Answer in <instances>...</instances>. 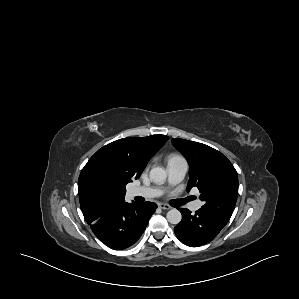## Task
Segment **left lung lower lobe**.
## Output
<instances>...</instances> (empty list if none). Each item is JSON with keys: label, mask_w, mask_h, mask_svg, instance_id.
I'll list each match as a JSON object with an SVG mask.
<instances>
[{"label": "left lung lower lobe", "mask_w": 299, "mask_h": 299, "mask_svg": "<svg viewBox=\"0 0 299 299\" xmlns=\"http://www.w3.org/2000/svg\"><path fill=\"white\" fill-rule=\"evenodd\" d=\"M182 220L174 228L177 238L190 247H199L210 242L226 225L213 215L201 209L191 214L188 209L180 208Z\"/></svg>", "instance_id": "left-lung-lower-lobe-1"}]
</instances>
